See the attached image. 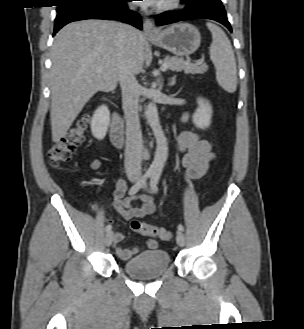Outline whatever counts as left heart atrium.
Listing matches in <instances>:
<instances>
[{"instance_id":"left-heart-atrium-1","label":"left heart atrium","mask_w":304,"mask_h":329,"mask_svg":"<svg viewBox=\"0 0 304 329\" xmlns=\"http://www.w3.org/2000/svg\"><path fill=\"white\" fill-rule=\"evenodd\" d=\"M162 0H142L143 6H156L158 5Z\"/></svg>"}]
</instances>
